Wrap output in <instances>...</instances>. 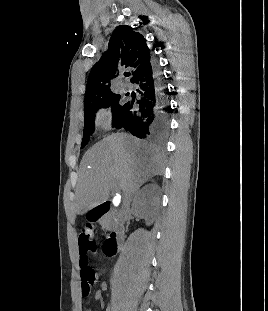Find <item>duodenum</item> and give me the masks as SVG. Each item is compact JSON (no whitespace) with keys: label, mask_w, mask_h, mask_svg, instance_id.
Returning a JSON list of instances; mask_svg holds the SVG:
<instances>
[{"label":"duodenum","mask_w":268,"mask_h":311,"mask_svg":"<svg viewBox=\"0 0 268 311\" xmlns=\"http://www.w3.org/2000/svg\"><path fill=\"white\" fill-rule=\"evenodd\" d=\"M109 210V202L98 204L90 211V219L93 222L104 221L109 213ZM115 222L117 223L116 227L109 233L104 243V251L107 256L115 255L119 251L122 243V229L118 225V221L115 220Z\"/></svg>","instance_id":"1"}]
</instances>
